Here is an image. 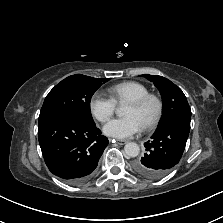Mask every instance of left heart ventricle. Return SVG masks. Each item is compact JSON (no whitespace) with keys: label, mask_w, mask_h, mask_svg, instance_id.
Instances as JSON below:
<instances>
[{"label":"left heart ventricle","mask_w":223,"mask_h":223,"mask_svg":"<svg viewBox=\"0 0 223 223\" xmlns=\"http://www.w3.org/2000/svg\"><path fill=\"white\" fill-rule=\"evenodd\" d=\"M155 111L156 104L153 101H150L141 108H137L131 104H128L124 110V115L135 117L142 126L144 123L152 118Z\"/></svg>","instance_id":"1"}]
</instances>
